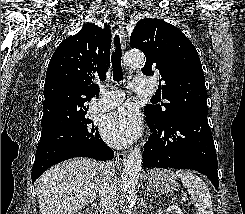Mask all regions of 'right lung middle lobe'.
Returning a JSON list of instances; mask_svg holds the SVG:
<instances>
[{
  "label": "right lung middle lobe",
  "instance_id": "obj_1",
  "mask_svg": "<svg viewBox=\"0 0 245 214\" xmlns=\"http://www.w3.org/2000/svg\"><path fill=\"white\" fill-rule=\"evenodd\" d=\"M86 113L69 120L58 127L43 129L40 140H53L68 138L80 146L91 143L94 133L91 120L86 117Z\"/></svg>",
  "mask_w": 245,
  "mask_h": 214
}]
</instances>
